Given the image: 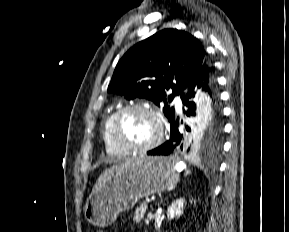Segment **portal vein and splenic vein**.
Returning <instances> with one entry per match:
<instances>
[{"instance_id":"portal-vein-and-splenic-vein-1","label":"portal vein and splenic vein","mask_w":289,"mask_h":232,"mask_svg":"<svg viewBox=\"0 0 289 232\" xmlns=\"http://www.w3.org/2000/svg\"><path fill=\"white\" fill-rule=\"evenodd\" d=\"M153 199H146V203H150Z\"/></svg>"}]
</instances>
